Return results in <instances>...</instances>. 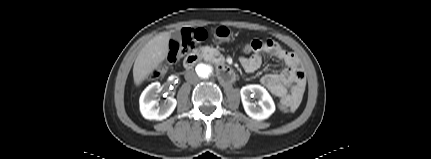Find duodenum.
<instances>
[{
  "label": "duodenum",
  "instance_id": "obj_1",
  "mask_svg": "<svg viewBox=\"0 0 431 159\" xmlns=\"http://www.w3.org/2000/svg\"><path fill=\"white\" fill-rule=\"evenodd\" d=\"M200 58L201 55L198 52L188 54L184 60L185 69L192 68ZM217 68L219 71V78L223 83H230L235 80V73L227 64L219 61Z\"/></svg>",
  "mask_w": 431,
  "mask_h": 159
}]
</instances>
